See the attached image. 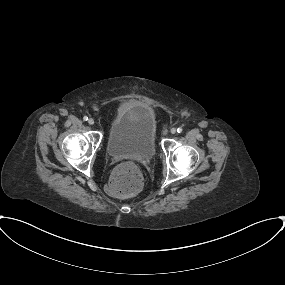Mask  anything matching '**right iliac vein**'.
Returning <instances> with one entry per match:
<instances>
[{"label":"right iliac vein","instance_id":"1","mask_svg":"<svg viewBox=\"0 0 285 285\" xmlns=\"http://www.w3.org/2000/svg\"><path fill=\"white\" fill-rule=\"evenodd\" d=\"M88 123H89V125H94L95 121H94L93 118H90V119L88 120Z\"/></svg>","mask_w":285,"mask_h":285}]
</instances>
